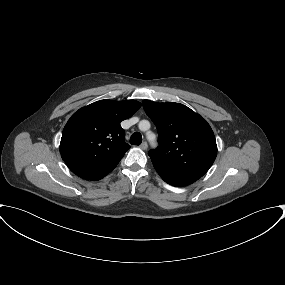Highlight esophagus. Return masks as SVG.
Here are the masks:
<instances>
[{
    "mask_svg": "<svg viewBox=\"0 0 285 285\" xmlns=\"http://www.w3.org/2000/svg\"><path fill=\"white\" fill-rule=\"evenodd\" d=\"M140 148L143 149V150H146L148 148V144L147 142H142V144L140 145Z\"/></svg>",
    "mask_w": 285,
    "mask_h": 285,
    "instance_id": "34e87169",
    "label": "esophagus"
}]
</instances>
